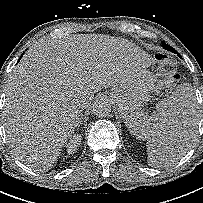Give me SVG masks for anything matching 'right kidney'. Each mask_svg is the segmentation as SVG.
<instances>
[{"label":"right kidney","instance_id":"right-kidney-1","mask_svg":"<svg viewBox=\"0 0 203 203\" xmlns=\"http://www.w3.org/2000/svg\"><path fill=\"white\" fill-rule=\"evenodd\" d=\"M80 143H81V136L74 135L67 145L68 154L69 155L73 154L77 150V147L80 145Z\"/></svg>","mask_w":203,"mask_h":203}]
</instances>
